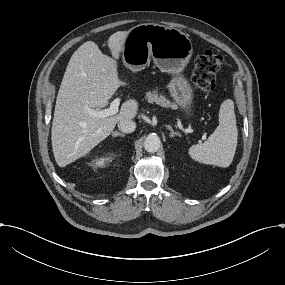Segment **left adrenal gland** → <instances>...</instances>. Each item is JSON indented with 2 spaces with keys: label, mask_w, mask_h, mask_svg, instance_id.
<instances>
[{
  "label": "left adrenal gland",
  "mask_w": 285,
  "mask_h": 285,
  "mask_svg": "<svg viewBox=\"0 0 285 285\" xmlns=\"http://www.w3.org/2000/svg\"><path fill=\"white\" fill-rule=\"evenodd\" d=\"M166 127H168V128L170 129V131H171V135H170V136H171V137H178V138H181V135H180V134L174 132V129L172 128V126L167 125Z\"/></svg>",
  "instance_id": "a2214340"
}]
</instances>
